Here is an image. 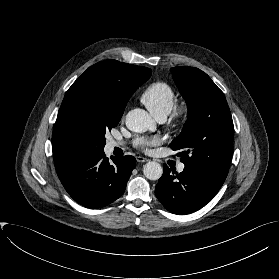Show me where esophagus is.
I'll use <instances>...</instances> for the list:
<instances>
[{
	"label": "esophagus",
	"mask_w": 279,
	"mask_h": 279,
	"mask_svg": "<svg viewBox=\"0 0 279 279\" xmlns=\"http://www.w3.org/2000/svg\"><path fill=\"white\" fill-rule=\"evenodd\" d=\"M136 160H137V162H139V163H143V162H147V161H148L147 158L142 157V156H137V157H136Z\"/></svg>",
	"instance_id": "1"
}]
</instances>
